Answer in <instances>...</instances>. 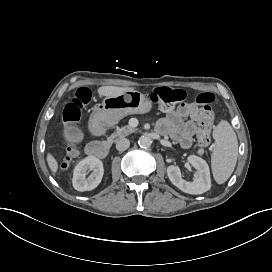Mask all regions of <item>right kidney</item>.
<instances>
[{
	"mask_svg": "<svg viewBox=\"0 0 272 272\" xmlns=\"http://www.w3.org/2000/svg\"><path fill=\"white\" fill-rule=\"evenodd\" d=\"M102 176V162L94 157H87L75 167L73 186L79 191L92 190L100 183Z\"/></svg>",
	"mask_w": 272,
	"mask_h": 272,
	"instance_id": "ca27d5eb",
	"label": "right kidney"
}]
</instances>
